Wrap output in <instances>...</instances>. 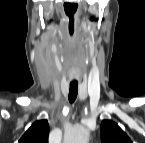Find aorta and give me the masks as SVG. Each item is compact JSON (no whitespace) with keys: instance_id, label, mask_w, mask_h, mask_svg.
Masks as SVG:
<instances>
[{"instance_id":"1","label":"aorta","mask_w":145,"mask_h":143,"mask_svg":"<svg viewBox=\"0 0 145 143\" xmlns=\"http://www.w3.org/2000/svg\"><path fill=\"white\" fill-rule=\"evenodd\" d=\"M88 139V130L81 126H75L66 132L64 143H87Z\"/></svg>"}]
</instances>
